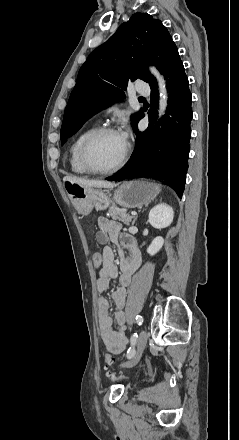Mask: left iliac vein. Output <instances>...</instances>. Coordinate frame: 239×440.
Wrapping results in <instances>:
<instances>
[{
  "label": "left iliac vein",
  "instance_id": "1",
  "mask_svg": "<svg viewBox=\"0 0 239 440\" xmlns=\"http://www.w3.org/2000/svg\"><path fill=\"white\" fill-rule=\"evenodd\" d=\"M147 339H148V335H147L146 331L142 330L138 336V339H137L136 356L131 361L124 363L122 366L130 367V366L135 365L139 361V359L143 353V350L146 346Z\"/></svg>",
  "mask_w": 239,
  "mask_h": 440
}]
</instances>
